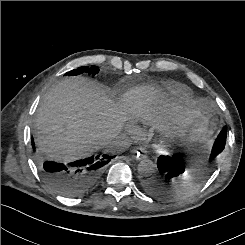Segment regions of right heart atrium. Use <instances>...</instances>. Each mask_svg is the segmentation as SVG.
Returning a JSON list of instances; mask_svg holds the SVG:
<instances>
[{
  "label": "right heart atrium",
  "instance_id": "right-heart-atrium-1",
  "mask_svg": "<svg viewBox=\"0 0 245 245\" xmlns=\"http://www.w3.org/2000/svg\"><path fill=\"white\" fill-rule=\"evenodd\" d=\"M136 129H137V127H136L135 125H133V124H130V125H128V127H127V131H128L130 134H134V133L136 132Z\"/></svg>",
  "mask_w": 245,
  "mask_h": 245
}]
</instances>
